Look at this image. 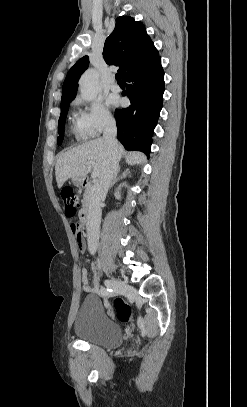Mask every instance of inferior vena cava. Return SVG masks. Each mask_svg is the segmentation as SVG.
Segmentation results:
<instances>
[{"label": "inferior vena cava", "mask_w": 247, "mask_h": 407, "mask_svg": "<svg viewBox=\"0 0 247 407\" xmlns=\"http://www.w3.org/2000/svg\"><path fill=\"white\" fill-rule=\"evenodd\" d=\"M117 127L114 120L106 123L103 139L108 147V159L102 174L95 182L88 207V220L86 223L88 250L94 254L97 249L99 239V229L101 222V203L105 199L114 175L118 169L117 153Z\"/></svg>", "instance_id": "602c4592"}]
</instances>
